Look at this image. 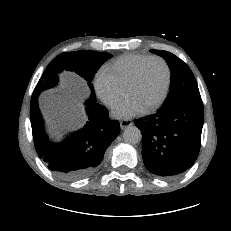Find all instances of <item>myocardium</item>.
<instances>
[{"label":"myocardium","instance_id":"f54148a6","mask_svg":"<svg viewBox=\"0 0 231 231\" xmlns=\"http://www.w3.org/2000/svg\"><path fill=\"white\" fill-rule=\"evenodd\" d=\"M153 60H157V61H160L164 67H165V70H166V81H165V85H164V88H163V91L160 95V97L158 98V100L152 104L151 106L145 108V111L146 112H151V111H154L156 109H158L162 103L164 102L167 94H168V91H169V88H170V83H171V70H170V67H169V64L166 62L165 59H163L162 57L160 56H150L149 58H147L146 60H144L138 67L137 69L135 70L132 78L130 79L126 89H125V92L126 94H128V92L134 87V85L139 81L140 77H141V74L145 68V66L153 61Z\"/></svg>","mask_w":231,"mask_h":231}]
</instances>
